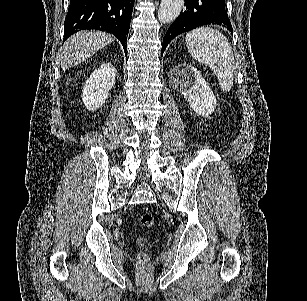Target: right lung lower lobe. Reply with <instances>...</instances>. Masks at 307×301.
Instances as JSON below:
<instances>
[{
	"instance_id": "1",
	"label": "right lung lower lobe",
	"mask_w": 307,
	"mask_h": 301,
	"mask_svg": "<svg viewBox=\"0 0 307 301\" xmlns=\"http://www.w3.org/2000/svg\"><path fill=\"white\" fill-rule=\"evenodd\" d=\"M134 0H70L64 41L79 30L96 29L115 35L126 51Z\"/></svg>"
}]
</instances>
